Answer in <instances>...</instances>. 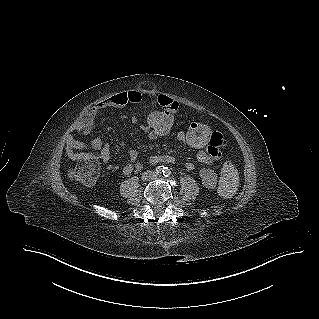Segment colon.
I'll return each instance as SVG.
<instances>
[{"mask_svg":"<svg viewBox=\"0 0 319 319\" xmlns=\"http://www.w3.org/2000/svg\"><path fill=\"white\" fill-rule=\"evenodd\" d=\"M177 125V118L173 113L158 110L145 119L143 128L149 138L158 140L172 135L176 131ZM212 130L213 128L208 122L197 120L188 126L185 133L186 141L194 149L208 150L211 148L209 138ZM76 157L78 164L70 171V179L80 185H93L100 171L98 159L88 153H79ZM237 187V171L231 162H225L218 192L223 197H230L235 193Z\"/></svg>","mask_w":319,"mask_h":319,"instance_id":"5ec220e1","label":"colon"}]
</instances>
